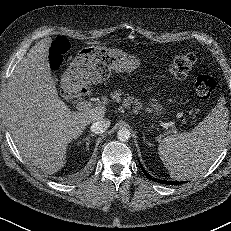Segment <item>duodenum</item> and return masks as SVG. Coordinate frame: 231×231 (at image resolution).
<instances>
[{
    "label": "duodenum",
    "mask_w": 231,
    "mask_h": 231,
    "mask_svg": "<svg viewBox=\"0 0 231 231\" xmlns=\"http://www.w3.org/2000/svg\"><path fill=\"white\" fill-rule=\"evenodd\" d=\"M64 89L67 97L69 98H78L89 93L88 87L77 86L70 79L65 80Z\"/></svg>",
    "instance_id": "duodenum-1"
}]
</instances>
